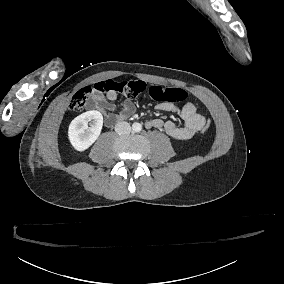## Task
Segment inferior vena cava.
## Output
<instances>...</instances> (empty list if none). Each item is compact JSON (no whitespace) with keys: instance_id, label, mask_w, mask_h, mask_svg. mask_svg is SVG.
Listing matches in <instances>:
<instances>
[{"instance_id":"obj_1","label":"inferior vena cava","mask_w":284,"mask_h":284,"mask_svg":"<svg viewBox=\"0 0 284 284\" xmlns=\"http://www.w3.org/2000/svg\"><path fill=\"white\" fill-rule=\"evenodd\" d=\"M115 132L118 134H129L131 126L128 122H119L115 125Z\"/></svg>"}]
</instances>
